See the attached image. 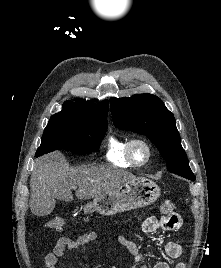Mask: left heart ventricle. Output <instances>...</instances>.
Returning <instances> with one entry per match:
<instances>
[{
    "label": "left heart ventricle",
    "instance_id": "obj_1",
    "mask_svg": "<svg viewBox=\"0 0 221 268\" xmlns=\"http://www.w3.org/2000/svg\"><path fill=\"white\" fill-rule=\"evenodd\" d=\"M134 157L137 161H143L146 157V151L143 146L136 145L133 149Z\"/></svg>",
    "mask_w": 221,
    "mask_h": 268
}]
</instances>
